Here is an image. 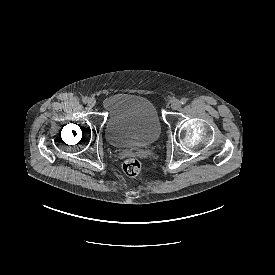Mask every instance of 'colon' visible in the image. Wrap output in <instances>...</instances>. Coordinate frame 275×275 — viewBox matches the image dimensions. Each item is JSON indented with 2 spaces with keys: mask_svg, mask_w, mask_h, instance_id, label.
<instances>
[{
  "mask_svg": "<svg viewBox=\"0 0 275 275\" xmlns=\"http://www.w3.org/2000/svg\"><path fill=\"white\" fill-rule=\"evenodd\" d=\"M123 172L128 177H135L141 171V163L137 158H127L122 164Z\"/></svg>",
  "mask_w": 275,
  "mask_h": 275,
  "instance_id": "5ec220e1",
  "label": "colon"
}]
</instances>
